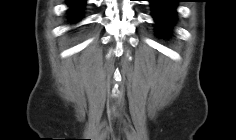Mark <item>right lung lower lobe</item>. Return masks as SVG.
Wrapping results in <instances>:
<instances>
[{
  "label": "right lung lower lobe",
  "instance_id": "right-lung-lower-lobe-1",
  "mask_svg": "<svg viewBox=\"0 0 236 140\" xmlns=\"http://www.w3.org/2000/svg\"><path fill=\"white\" fill-rule=\"evenodd\" d=\"M86 0H67L70 9V18L75 21L79 18Z\"/></svg>",
  "mask_w": 236,
  "mask_h": 140
}]
</instances>
